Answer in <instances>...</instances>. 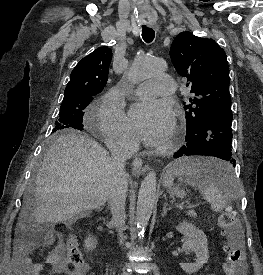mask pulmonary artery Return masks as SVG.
<instances>
[{
  "mask_svg": "<svg viewBox=\"0 0 263 275\" xmlns=\"http://www.w3.org/2000/svg\"><path fill=\"white\" fill-rule=\"evenodd\" d=\"M175 91L174 79L166 75H159L139 84L135 89V94L141 99H152L157 96L172 95Z\"/></svg>",
  "mask_w": 263,
  "mask_h": 275,
  "instance_id": "obj_1",
  "label": "pulmonary artery"
}]
</instances>
